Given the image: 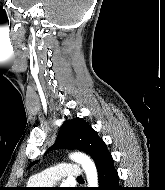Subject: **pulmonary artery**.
Listing matches in <instances>:
<instances>
[{"mask_svg": "<svg viewBox=\"0 0 165 190\" xmlns=\"http://www.w3.org/2000/svg\"><path fill=\"white\" fill-rule=\"evenodd\" d=\"M82 174L83 171L80 165L60 163L36 174L32 177L31 181L36 185L49 186L63 178L76 179L82 176Z\"/></svg>", "mask_w": 165, "mask_h": 190, "instance_id": "1", "label": "pulmonary artery"}]
</instances>
